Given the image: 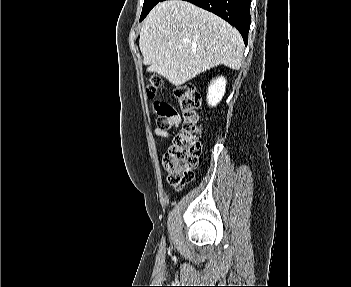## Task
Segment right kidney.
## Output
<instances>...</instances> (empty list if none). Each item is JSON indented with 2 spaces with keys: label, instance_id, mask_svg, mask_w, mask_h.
<instances>
[{
  "label": "right kidney",
  "instance_id": "1",
  "mask_svg": "<svg viewBox=\"0 0 351 287\" xmlns=\"http://www.w3.org/2000/svg\"><path fill=\"white\" fill-rule=\"evenodd\" d=\"M226 79L224 77H218L213 80L209 87L207 93V102L209 106H216L225 94Z\"/></svg>",
  "mask_w": 351,
  "mask_h": 287
}]
</instances>
